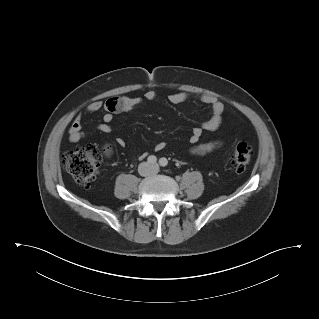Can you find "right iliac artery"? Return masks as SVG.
<instances>
[{"mask_svg": "<svg viewBox=\"0 0 319 319\" xmlns=\"http://www.w3.org/2000/svg\"><path fill=\"white\" fill-rule=\"evenodd\" d=\"M156 161H157V158L154 155H151L148 157V163L154 164L156 163Z\"/></svg>", "mask_w": 319, "mask_h": 319, "instance_id": "right-iliac-artery-1", "label": "right iliac artery"}]
</instances>
